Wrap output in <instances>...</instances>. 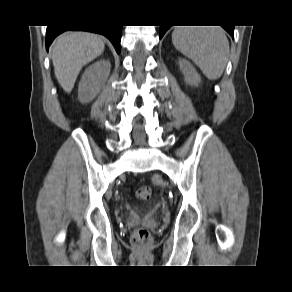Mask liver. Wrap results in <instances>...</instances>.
I'll list each match as a JSON object with an SVG mask.
<instances>
[{
    "instance_id": "liver-1",
    "label": "liver",
    "mask_w": 292,
    "mask_h": 292,
    "mask_svg": "<svg viewBox=\"0 0 292 292\" xmlns=\"http://www.w3.org/2000/svg\"><path fill=\"white\" fill-rule=\"evenodd\" d=\"M105 48L102 37L88 32H65L51 46L55 76L70 93L82 67L100 56Z\"/></svg>"
}]
</instances>
